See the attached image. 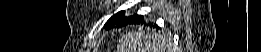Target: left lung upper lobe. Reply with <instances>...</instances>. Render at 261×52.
I'll list each match as a JSON object with an SVG mask.
<instances>
[{"label": "left lung upper lobe", "mask_w": 261, "mask_h": 52, "mask_svg": "<svg viewBox=\"0 0 261 52\" xmlns=\"http://www.w3.org/2000/svg\"><path fill=\"white\" fill-rule=\"evenodd\" d=\"M124 11H120L117 14L113 15L104 25L105 28L109 29L111 27H114L115 25L121 27L124 26L128 23H134L135 21L139 20L142 18L140 15H133L130 17H125Z\"/></svg>", "instance_id": "1"}]
</instances>
